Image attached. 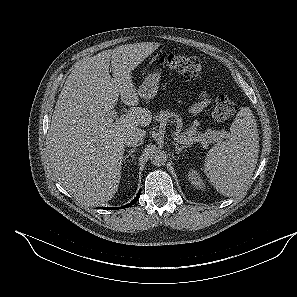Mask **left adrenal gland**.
Returning a JSON list of instances; mask_svg holds the SVG:
<instances>
[{"instance_id": "obj_1", "label": "left adrenal gland", "mask_w": 297, "mask_h": 297, "mask_svg": "<svg viewBox=\"0 0 297 297\" xmlns=\"http://www.w3.org/2000/svg\"><path fill=\"white\" fill-rule=\"evenodd\" d=\"M175 145V150H176V153L179 154L183 149L187 148L188 146L186 145H183V146H180L177 144V143H173Z\"/></svg>"}]
</instances>
